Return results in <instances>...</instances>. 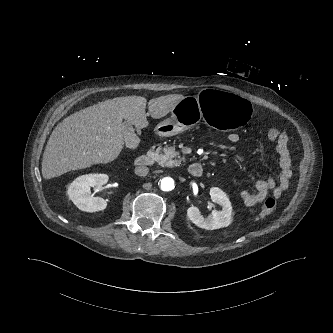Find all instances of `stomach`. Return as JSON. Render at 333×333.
I'll use <instances>...</instances> for the list:
<instances>
[{"instance_id": "1", "label": "stomach", "mask_w": 333, "mask_h": 333, "mask_svg": "<svg viewBox=\"0 0 333 333\" xmlns=\"http://www.w3.org/2000/svg\"><path fill=\"white\" fill-rule=\"evenodd\" d=\"M205 122L219 130L246 126L252 119L253 107L244 96L219 87L204 89L197 99L185 97L172 110L170 118L160 122L155 132L170 137L188 130L197 121V109Z\"/></svg>"}]
</instances>
